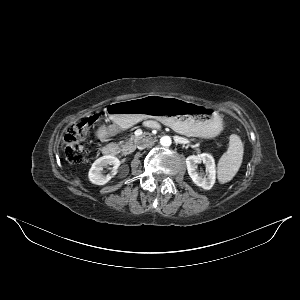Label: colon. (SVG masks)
Instances as JSON below:
<instances>
[{
  "label": "colon",
  "instance_id": "obj_1",
  "mask_svg": "<svg viewBox=\"0 0 300 300\" xmlns=\"http://www.w3.org/2000/svg\"><path fill=\"white\" fill-rule=\"evenodd\" d=\"M95 120V116H88L68 127L64 136V150L66 159L70 163L79 164L86 159L88 149L83 140Z\"/></svg>",
  "mask_w": 300,
  "mask_h": 300
}]
</instances>
